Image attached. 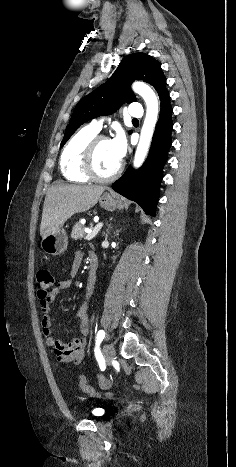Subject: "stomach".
Listing matches in <instances>:
<instances>
[{
  "instance_id": "1",
  "label": "stomach",
  "mask_w": 236,
  "mask_h": 467,
  "mask_svg": "<svg viewBox=\"0 0 236 467\" xmlns=\"http://www.w3.org/2000/svg\"><path fill=\"white\" fill-rule=\"evenodd\" d=\"M99 204L107 211H114L124 207L120 199H116L108 193L104 194L100 198ZM67 246V234L65 230L60 227L57 230L49 233L41 241L42 250L49 255H61L67 249Z\"/></svg>"
}]
</instances>
